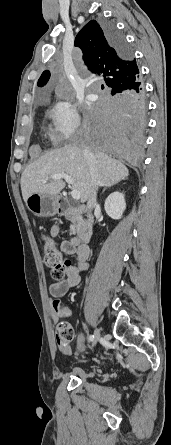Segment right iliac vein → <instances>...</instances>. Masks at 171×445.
Wrapping results in <instances>:
<instances>
[{"mask_svg":"<svg viewBox=\"0 0 171 445\" xmlns=\"http://www.w3.org/2000/svg\"><path fill=\"white\" fill-rule=\"evenodd\" d=\"M101 337V329L100 328H96L94 331V340H93V346H95L97 344V342L99 341Z\"/></svg>","mask_w":171,"mask_h":445,"instance_id":"right-iliac-vein-1","label":"right iliac vein"}]
</instances>
